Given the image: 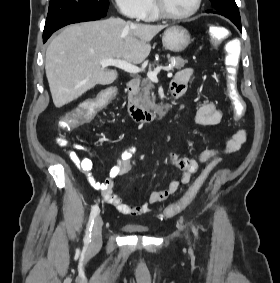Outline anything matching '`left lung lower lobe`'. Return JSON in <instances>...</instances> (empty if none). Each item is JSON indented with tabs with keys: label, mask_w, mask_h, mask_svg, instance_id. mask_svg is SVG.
<instances>
[{
	"label": "left lung lower lobe",
	"mask_w": 280,
	"mask_h": 283,
	"mask_svg": "<svg viewBox=\"0 0 280 283\" xmlns=\"http://www.w3.org/2000/svg\"><path fill=\"white\" fill-rule=\"evenodd\" d=\"M231 21L237 26V28H238L239 30H241V22L235 21V20H231Z\"/></svg>",
	"instance_id": "0a47b994"
}]
</instances>
